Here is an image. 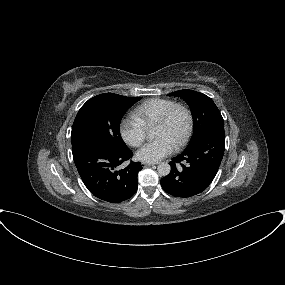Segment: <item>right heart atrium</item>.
Returning a JSON list of instances; mask_svg holds the SVG:
<instances>
[{
  "label": "right heart atrium",
  "mask_w": 285,
  "mask_h": 285,
  "mask_svg": "<svg viewBox=\"0 0 285 285\" xmlns=\"http://www.w3.org/2000/svg\"><path fill=\"white\" fill-rule=\"evenodd\" d=\"M119 131L122 139L130 146H140L147 135V128L135 115L129 114L122 118Z\"/></svg>",
  "instance_id": "1"
}]
</instances>
